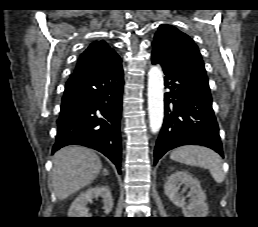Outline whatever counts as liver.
<instances>
[{"instance_id": "obj_1", "label": "liver", "mask_w": 258, "mask_h": 227, "mask_svg": "<svg viewBox=\"0 0 258 227\" xmlns=\"http://www.w3.org/2000/svg\"><path fill=\"white\" fill-rule=\"evenodd\" d=\"M102 168L100 158L88 148L68 146L53 156L52 186L59 200L90 184Z\"/></svg>"}]
</instances>
